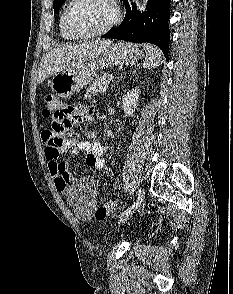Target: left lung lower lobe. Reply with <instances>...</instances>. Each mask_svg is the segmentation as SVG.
I'll use <instances>...</instances> for the list:
<instances>
[{
	"label": "left lung lower lobe",
	"mask_w": 233,
	"mask_h": 294,
	"mask_svg": "<svg viewBox=\"0 0 233 294\" xmlns=\"http://www.w3.org/2000/svg\"><path fill=\"white\" fill-rule=\"evenodd\" d=\"M171 0H149L147 11L141 14L132 4L124 0L126 15L116 29L110 30L102 38L121 39L133 43H152L158 46L168 58L170 32L168 20L170 18Z\"/></svg>",
	"instance_id": "left-lung-lower-lobe-1"
}]
</instances>
